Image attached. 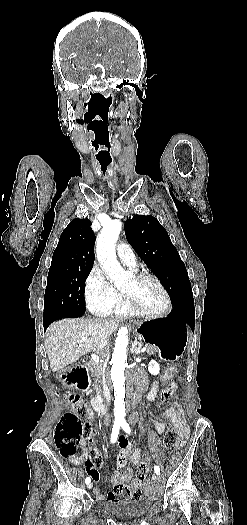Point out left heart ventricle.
<instances>
[{
  "mask_svg": "<svg viewBox=\"0 0 247 525\" xmlns=\"http://www.w3.org/2000/svg\"><path fill=\"white\" fill-rule=\"evenodd\" d=\"M122 290L134 294L150 310H158L165 304L163 292L157 284L149 278L136 280L131 277L123 286Z\"/></svg>",
  "mask_w": 247,
  "mask_h": 525,
  "instance_id": "left-heart-ventricle-1",
  "label": "left heart ventricle"
}]
</instances>
